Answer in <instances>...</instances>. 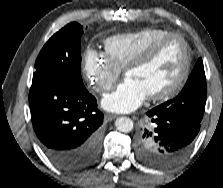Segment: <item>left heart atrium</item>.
Segmentation results:
<instances>
[{
	"mask_svg": "<svg viewBox=\"0 0 223 188\" xmlns=\"http://www.w3.org/2000/svg\"><path fill=\"white\" fill-rule=\"evenodd\" d=\"M147 98L145 90L131 78L124 81L102 100V106L112 112L126 113L137 109Z\"/></svg>",
	"mask_w": 223,
	"mask_h": 188,
	"instance_id": "39dd6f15",
	"label": "left heart atrium"
}]
</instances>
